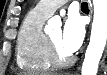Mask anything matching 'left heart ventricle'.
I'll list each match as a JSON object with an SVG mask.
<instances>
[{
    "label": "left heart ventricle",
    "instance_id": "b2bd125f",
    "mask_svg": "<svg viewBox=\"0 0 107 75\" xmlns=\"http://www.w3.org/2000/svg\"><path fill=\"white\" fill-rule=\"evenodd\" d=\"M61 31H55L53 33H51L49 35V37L51 38V40L57 45V47L59 48V50L63 53V54H69L67 53L64 48L62 47V44H61Z\"/></svg>",
    "mask_w": 107,
    "mask_h": 75
}]
</instances>
